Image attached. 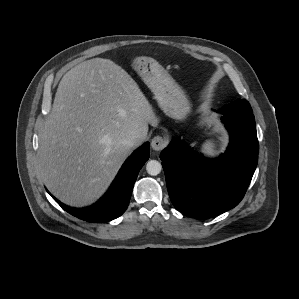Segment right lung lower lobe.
<instances>
[{
    "label": "right lung lower lobe",
    "mask_w": 299,
    "mask_h": 299,
    "mask_svg": "<svg viewBox=\"0 0 299 299\" xmlns=\"http://www.w3.org/2000/svg\"><path fill=\"white\" fill-rule=\"evenodd\" d=\"M149 155L150 144L147 142L125 161L105 197L89 208H71L53 198L65 211L82 220L88 222L111 221L122 215L126 210L135 180Z\"/></svg>",
    "instance_id": "obj_1"
}]
</instances>
